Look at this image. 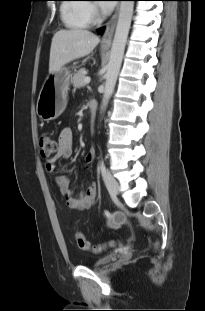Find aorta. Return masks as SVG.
I'll list each match as a JSON object with an SVG mask.
<instances>
[{"instance_id": "aorta-1", "label": "aorta", "mask_w": 205, "mask_h": 311, "mask_svg": "<svg viewBox=\"0 0 205 311\" xmlns=\"http://www.w3.org/2000/svg\"><path fill=\"white\" fill-rule=\"evenodd\" d=\"M133 7L134 1H121L117 26L111 47L110 59L105 75L106 83L102 99L103 106H106L109 102L120 71L125 45L131 25Z\"/></svg>"}]
</instances>
